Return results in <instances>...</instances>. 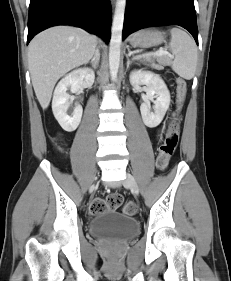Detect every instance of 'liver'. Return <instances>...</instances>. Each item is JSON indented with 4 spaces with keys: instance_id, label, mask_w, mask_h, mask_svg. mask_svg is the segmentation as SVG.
<instances>
[{
    "instance_id": "1",
    "label": "liver",
    "mask_w": 231,
    "mask_h": 281,
    "mask_svg": "<svg viewBox=\"0 0 231 281\" xmlns=\"http://www.w3.org/2000/svg\"><path fill=\"white\" fill-rule=\"evenodd\" d=\"M96 43L95 36L70 26L49 28L32 39L28 65L36 97L43 109L49 106L58 79L88 63Z\"/></svg>"
}]
</instances>
